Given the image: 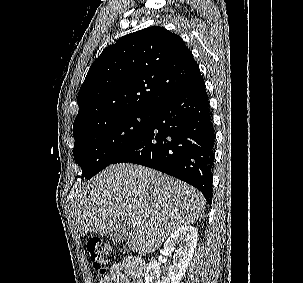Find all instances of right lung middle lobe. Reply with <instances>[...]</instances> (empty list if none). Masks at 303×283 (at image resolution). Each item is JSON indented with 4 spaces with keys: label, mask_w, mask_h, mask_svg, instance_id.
Instances as JSON below:
<instances>
[{
    "label": "right lung middle lobe",
    "mask_w": 303,
    "mask_h": 283,
    "mask_svg": "<svg viewBox=\"0 0 303 283\" xmlns=\"http://www.w3.org/2000/svg\"><path fill=\"white\" fill-rule=\"evenodd\" d=\"M151 111H132L73 133L74 159L82 177L92 178L113 164L147 130Z\"/></svg>",
    "instance_id": "dd1d6c3e"
}]
</instances>
